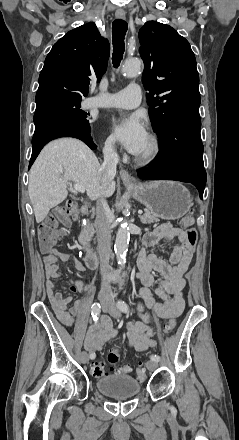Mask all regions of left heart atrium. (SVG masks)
<instances>
[{
  "label": "left heart atrium",
  "instance_id": "39dd6f15",
  "mask_svg": "<svg viewBox=\"0 0 239 440\" xmlns=\"http://www.w3.org/2000/svg\"><path fill=\"white\" fill-rule=\"evenodd\" d=\"M108 126L112 138L135 155L141 152L148 139L144 120L139 113L113 116L108 120Z\"/></svg>",
  "mask_w": 239,
  "mask_h": 440
}]
</instances>
